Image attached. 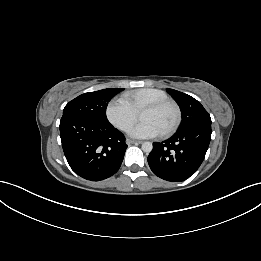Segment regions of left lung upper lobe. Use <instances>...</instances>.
Listing matches in <instances>:
<instances>
[{"instance_id":"obj_1","label":"left lung upper lobe","mask_w":261,"mask_h":261,"mask_svg":"<svg viewBox=\"0 0 261 261\" xmlns=\"http://www.w3.org/2000/svg\"><path fill=\"white\" fill-rule=\"evenodd\" d=\"M169 94L177 101L182 112V122L178 130L197 125H211V118L200 102L177 90L168 89Z\"/></svg>"}]
</instances>
